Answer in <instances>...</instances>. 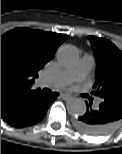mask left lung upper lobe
I'll return each mask as SVG.
<instances>
[{
    "label": "left lung upper lobe",
    "instance_id": "1",
    "mask_svg": "<svg viewBox=\"0 0 122 154\" xmlns=\"http://www.w3.org/2000/svg\"><path fill=\"white\" fill-rule=\"evenodd\" d=\"M96 58V81L91 93L101 99L112 92L122 91V52L110 41L88 37Z\"/></svg>",
    "mask_w": 122,
    "mask_h": 154
}]
</instances>
